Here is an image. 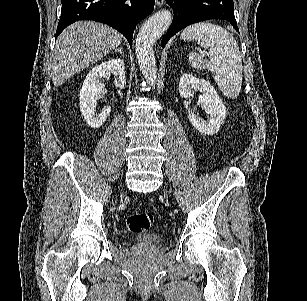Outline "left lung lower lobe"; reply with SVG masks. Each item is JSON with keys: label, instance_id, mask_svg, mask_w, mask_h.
Here are the masks:
<instances>
[{"label": "left lung lower lobe", "instance_id": "1", "mask_svg": "<svg viewBox=\"0 0 307 301\" xmlns=\"http://www.w3.org/2000/svg\"><path fill=\"white\" fill-rule=\"evenodd\" d=\"M166 2L172 7L174 16L167 34L162 38V47L179 30L204 20H227L239 32L232 0H166Z\"/></svg>", "mask_w": 307, "mask_h": 301}]
</instances>
